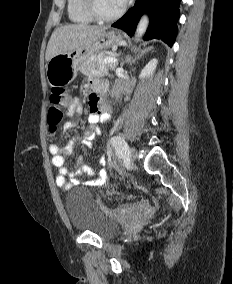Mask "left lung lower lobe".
I'll list each match as a JSON object with an SVG mask.
<instances>
[{
	"label": "left lung lower lobe",
	"mask_w": 233,
	"mask_h": 284,
	"mask_svg": "<svg viewBox=\"0 0 233 284\" xmlns=\"http://www.w3.org/2000/svg\"><path fill=\"white\" fill-rule=\"evenodd\" d=\"M181 0H136L135 5L112 26L124 30L129 36L135 32L143 13L152 15L144 39H161L172 47L177 35L179 3Z\"/></svg>",
	"instance_id": "left-lung-lower-lobe-1"
}]
</instances>
